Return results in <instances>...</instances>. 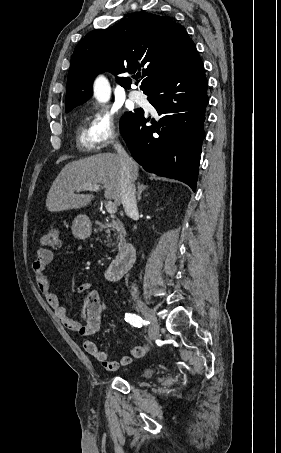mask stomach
Masks as SVG:
<instances>
[{"label":"stomach","mask_w":281,"mask_h":453,"mask_svg":"<svg viewBox=\"0 0 281 453\" xmlns=\"http://www.w3.org/2000/svg\"><path fill=\"white\" fill-rule=\"evenodd\" d=\"M73 235L77 239H87L91 235V222L86 214H78L72 224Z\"/></svg>","instance_id":"0dacf381"}]
</instances>
